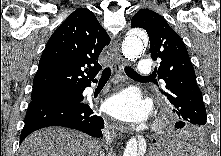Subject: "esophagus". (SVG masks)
Returning a JSON list of instances; mask_svg holds the SVG:
<instances>
[{
	"label": "esophagus",
	"mask_w": 221,
	"mask_h": 156,
	"mask_svg": "<svg viewBox=\"0 0 221 156\" xmlns=\"http://www.w3.org/2000/svg\"><path fill=\"white\" fill-rule=\"evenodd\" d=\"M112 55L115 59V66H116V71L119 74L123 73V68L126 65V61L121 55L120 48L118 46V43L115 42L113 47H112ZM112 133L114 137H121L123 133L126 132V129L122 126H113L112 128Z\"/></svg>",
	"instance_id": "esophagus-1"
}]
</instances>
